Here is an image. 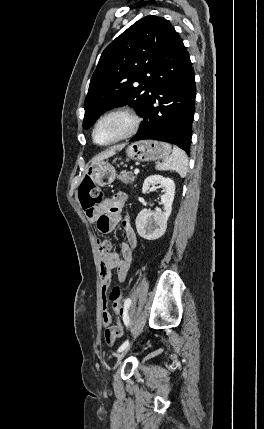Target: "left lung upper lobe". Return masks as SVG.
Returning a JSON list of instances; mask_svg holds the SVG:
<instances>
[{
    "label": "left lung upper lobe",
    "instance_id": "1",
    "mask_svg": "<svg viewBox=\"0 0 264 429\" xmlns=\"http://www.w3.org/2000/svg\"><path fill=\"white\" fill-rule=\"evenodd\" d=\"M173 26L163 17L146 16L103 51L84 102L83 128L105 111L129 104L141 115L152 79Z\"/></svg>",
    "mask_w": 264,
    "mask_h": 429
}]
</instances>
